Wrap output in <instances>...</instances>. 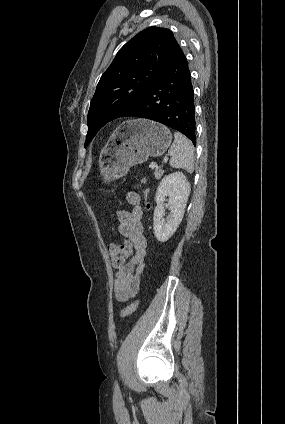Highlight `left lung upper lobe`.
<instances>
[{
	"label": "left lung upper lobe",
	"instance_id": "1",
	"mask_svg": "<svg viewBox=\"0 0 285 424\" xmlns=\"http://www.w3.org/2000/svg\"><path fill=\"white\" fill-rule=\"evenodd\" d=\"M178 45L166 28L149 27L128 41L101 76L88 111L85 147L159 77Z\"/></svg>",
	"mask_w": 285,
	"mask_h": 424
}]
</instances>
